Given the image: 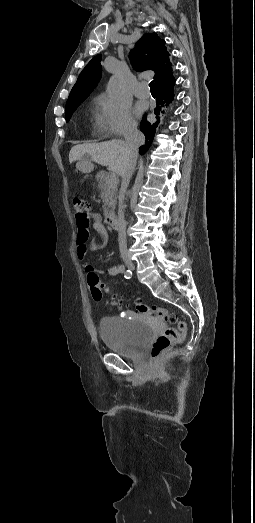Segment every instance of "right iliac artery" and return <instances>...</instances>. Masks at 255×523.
Wrapping results in <instances>:
<instances>
[{"mask_svg":"<svg viewBox=\"0 0 255 523\" xmlns=\"http://www.w3.org/2000/svg\"><path fill=\"white\" fill-rule=\"evenodd\" d=\"M132 276V272L130 270H126L125 273H124V277L126 279H130Z\"/></svg>","mask_w":255,"mask_h":523,"instance_id":"right-iliac-artery-1","label":"right iliac artery"}]
</instances>
